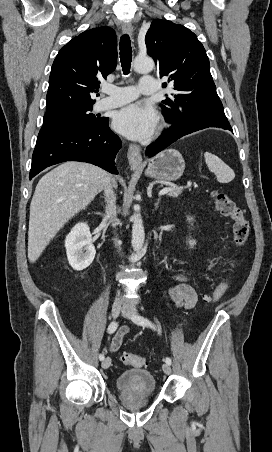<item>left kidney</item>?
Returning a JSON list of instances; mask_svg holds the SVG:
<instances>
[{"label": "left kidney", "instance_id": "left-kidney-1", "mask_svg": "<svg viewBox=\"0 0 272 452\" xmlns=\"http://www.w3.org/2000/svg\"><path fill=\"white\" fill-rule=\"evenodd\" d=\"M188 220L191 221L192 218H188ZM195 244H196V242H195L194 240H189V245H190L191 247H193Z\"/></svg>", "mask_w": 272, "mask_h": 452}]
</instances>
